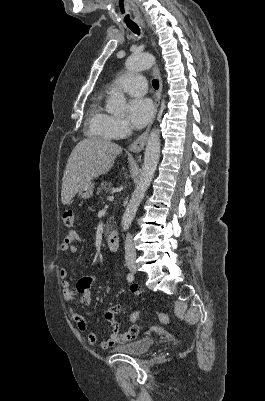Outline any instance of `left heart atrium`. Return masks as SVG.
Masks as SVG:
<instances>
[{
	"label": "left heart atrium",
	"instance_id": "obj_1",
	"mask_svg": "<svg viewBox=\"0 0 265 401\" xmlns=\"http://www.w3.org/2000/svg\"><path fill=\"white\" fill-rule=\"evenodd\" d=\"M153 107L149 100L132 99L127 103L126 115L132 126L136 129L142 128L151 119Z\"/></svg>",
	"mask_w": 265,
	"mask_h": 401
}]
</instances>
